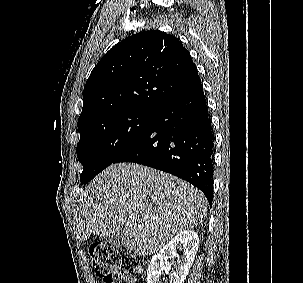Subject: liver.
Masks as SVG:
<instances>
[{
    "label": "liver",
    "mask_w": 303,
    "mask_h": 283,
    "mask_svg": "<svg viewBox=\"0 0 303 283\" xmlns=\"http://www.w3.org/2000/svg\"><path fill=\"white\" fill-rule=\"evenodd\" d=\"M75 196L73 222L81 241L122 230V245L142 256L156 253L174 235L202 224L207 215V200L200 190L133 163L107 167Z\"/></svg>",
    "instance_id": "obj_1"
}]
</instances>
